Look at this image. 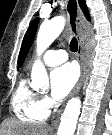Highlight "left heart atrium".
Instances as JSON below:
<instances>
[{"label": "left heart atrium", "mask_w": 112, "mask_h": 135, "mask_svg": "<svg viewBox=\"0 0 112 135\" xmlns=\"http://www.w3.org/2000/svg\"><path fill=\"white\" fill-rule=\"evenodd\" d=\"M78 70L72 63L63 64L51 72V94L54 99H63L74 87Z\"/></svg>", "instance_id": "left-heart-atrium-1"}]
</instances>
